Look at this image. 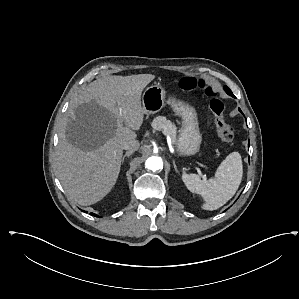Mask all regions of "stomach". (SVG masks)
Returning a JSON list of instances; mask_svg holds the SVG:
<instances>
[{"mask_svg": "<svg viewBox=\"0 0 299 299\" xmlns=\"http://www.w3.org/2000/svg\"><path fill=\"white\" fill-rule=\"evenodd\" d=\"M165 98L166 91L160 84L148 87L142 96L144 114H155L168 104L175 115L182 119V127L176 140L177 151L181 155L196 154L200 149L202 136L195 108L174 96H170L167 101Z\"/></svg>", "mask_w": 299, "mask_h": 299, "instance_id": "0dacf381", "label": "stomach"}]
</instances>
